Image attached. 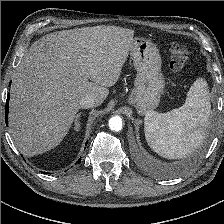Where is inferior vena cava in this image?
Returning a JSON list of instances; mask_svg holds the SVG:
<instances>
[{
  "label": "inferior vena cava",
  "instance_id": "1",
  "mask_svg": "<svg viewBox=\"0 0 224 224\" xmlns=\"http://www.w3.org/2000/svg\"><path fill=\"white\" fill-rule=\"evenodd\" d=\"M79 105L81 108L88 109L96 106L97 104L96 100L92 96L86 95L79 100Z\"/></svg>",
  "mask_w": 224,
  "mask_h": 224
}]
</instances>
